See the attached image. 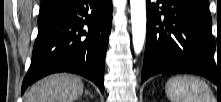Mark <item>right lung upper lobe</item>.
Wrapping results in <instances>:
<instances>
[{"label":"right lung upper lobe","instance_id":"obj_1","mask_svg":"<svg viewBox=\"0 0 221 102\" xmlns=\"http://www.w3.org/2000/svg\"><path fill=\"white\" fill-rule=\"evenodd\" d=\"M68 0H42L40 10H56Z\"/></svg>","mask_w":221,"mask_h":102}]
</instances>
